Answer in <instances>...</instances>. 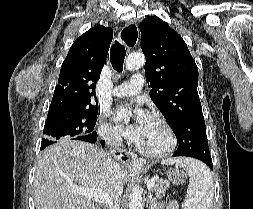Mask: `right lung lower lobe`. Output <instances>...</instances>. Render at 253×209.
<instances>
[{
	"label": "right lung lower lobe",
	"mask_w": 253,
	"mask_h": 209,
	"mask_svg": "<svg viewBox=\"0 0 253 209\" xmlns=\"http://www.w3.org/2000/svg\"><path fill=\"white\" fill-rule=\"evenodd\" d=\"M77 140L95 143L97 141V134L96 132H94L90 136H87V137H78ZM101 144L104 146V141H101Z\"/></svg>",
	"instance_id": "right-lung-lower-lobe-1"
}]
</instances>
